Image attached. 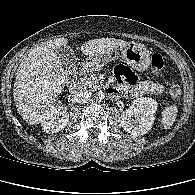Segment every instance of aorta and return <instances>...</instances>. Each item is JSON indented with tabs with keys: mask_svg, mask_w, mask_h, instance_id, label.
I'll list each match as a JSON object with an SVG mask.
<instances>
[{
	"mask_svg": "<svg viewBox=\"0 0 195 195\" xmlns=\"http://www.w3.org/2000/svg\"><path fill=\"white\" fill-rule=\"evenodd\" d=\"M94 98H95L96 101L101 102V101H103V99L105 98V94H104V92L99 91V92H97V93L95 94Z\"/></svg>",
	"mask_w": 195,
	"mask_h": 195,
	"instance_id": "1",
	"label": "aorta"
}]
</instances>
